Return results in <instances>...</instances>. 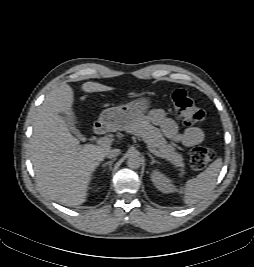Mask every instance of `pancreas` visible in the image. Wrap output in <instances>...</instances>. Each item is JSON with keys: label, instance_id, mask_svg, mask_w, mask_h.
Returning a JSON list of instances; mask_svg holds the SVG:
<instances>
[{"label": "pancreas", "instance_id": "1", "mask_svg": "<svg viewBox=\"0 0 254 267\" xmlns=\"http://www.w3.org/2000/svg\"><path fill=\"white\" fill-rule=\"evenodd\" d=\"M127 132L142 138L145 143L158 150L160 157L168 160L174 167L178 168L180 177L185 174V164L182 155L176 152L172 145L167 143L158 128L152 126L148 121L141 119L128 128Z\"/></svg>", "mask_w": 254, "mask_h": 267}]
</instances>
